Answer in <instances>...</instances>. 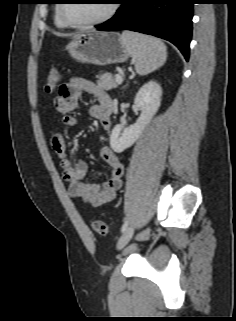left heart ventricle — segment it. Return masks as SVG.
Wrapping results in <instances>:
<instances>
[{"mask_svg": "<svg viewBox=\"0 0 236 321\" xmlns=\"http://www.w3.org/2000/svg\"><path fill=\"white\" fill-rule=\"evenodd\" d=\"M109 6L108 0H74L65 5V14L72 21L89 22L104 16Z\"/></svg>", "mask_w": 236, "mask_h": 321, "instance_id": "left-heart-ventricle-1", "label": "left heart ventricle"}]
</instances>
